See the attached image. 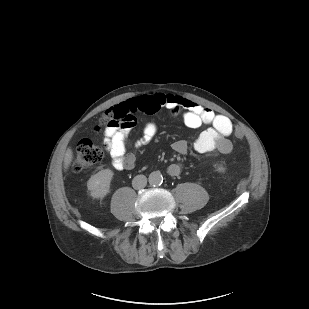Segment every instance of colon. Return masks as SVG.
<instances>
[{"instance_id":"colon-1","label":"colon","mask_w":309,"mask_h":309,"mask_svg":"<svg viewBox=\"0 0 309 309\" xmlns=\"http://www.w3.org/2000/svg\"><path fill=\"white\" fill-rule=\"evenodd\" d=\"M136 120L133 114L124 112L117 114L115 107L106 111L98 126V130H101L105 126H120V127H134ZM235 136L237 138L243 137V132L240 128L235 129ZM104 156V148L92 141L91 139H82L79 141L76 148V155L74 157L72 168L75 172H81L88 169L95 164L99 163Z\"/></svg>"}]
</instances>
